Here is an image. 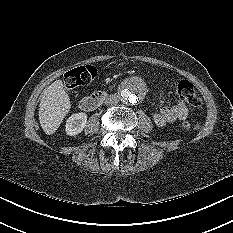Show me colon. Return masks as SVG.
<instances>
[{
    "mask_svg": "<svg viewBox=\"0 0 233 233\" xmlns=\"http://www.w3.org/2000/svg\"><path fill=\"white\" fill-rule=\"evenodd\" d=\"M97 70L94 66H80L68 71L64 75V84L68 90L88 85L96 76ZM175 93L186 103L193 107L201 106V98L188 80H180L174 83ZM184 130H190L192 124L185 120L181 123Z\"/></svg>",
    "mask_w": 233,
    "mask_h": 233,
    "instance_id": "obj_1",
    "label": "colon"
}]
</instances>
